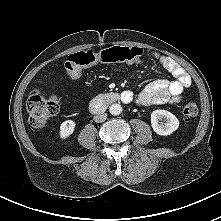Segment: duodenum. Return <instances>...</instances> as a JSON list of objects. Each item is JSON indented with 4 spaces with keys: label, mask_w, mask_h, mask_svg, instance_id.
Returning a JSON list of instances; mask_svg holds the SVG:
<instances>
[{
    "label": "duodenum",
    "mask_w": 221,
    "mask_h": 221,
    "mask_svg": "<svg viewBox=\"0 0 221 221\" xmlns=\"http://www.w3.org/2000/svg\"><path fill=\"white\" fill-rule=\"evenodd\" d=\"M132 99V95L129 92L117 93L111 92L102 95L101 97L94 99L90 104V109L94 113H102L106 108L114 102L129 103Z\"/></svg>",
    "instance_id": "410a0bca"
}]
</instances>
